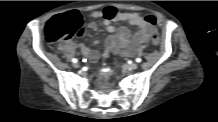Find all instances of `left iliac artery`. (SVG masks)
<instances>
[{
  "label": "left iliac artery",
  "mask_w": 218,
  "mask_h": 122,
  "mask_svg": "<svg viewBox=\"0 0 218 122\" xmlns=\"http://www.w3.org/2000/svg\"><path fill=\"white\" fill-rule=\"evenodd\" d=\"M141 61H142L141 58H136V62H137V63H140Z\"/></svg>",
  "instance_id": "44dca946"
}]
</instances>
